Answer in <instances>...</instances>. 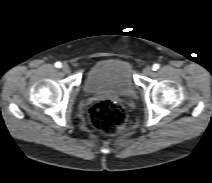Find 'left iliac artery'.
<instances>
[{"instance_id": "left-iliac-artery-1", "label": "left iliac artery", "mask_w": 212, "mask_h": 183, "mask_svg": "<svg viewBox=\"0 0 212 183\" xmlns=\"http://www.w3.org/2000/svg\"><path fill=\"white\" fill-rule=\"evenodd\" d=\"M159 67H160L159 64L156 63L153 65V70H157V69H159Z\"/></svg>"}]
</instances>
